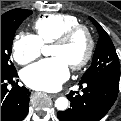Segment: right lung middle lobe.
Instances as JSON below:
<instances>
[{"label": "right lung middle lobe", "instance_id": "dd1d6c3e", "mask_svg": "<svg viewBox=\"0 0 121 121\" xmlns=\"http://www.w3.org/2000/svg\"><path fill=\"white\" fill-rule=\"evenodd\" d=\"M32 14L31 10L14 9L1 15V73L16 72L10 60L12 42L19 25Z\"/></svg>", "mask_w": 121, "mask_h": 121}]
</instances>
